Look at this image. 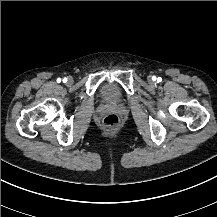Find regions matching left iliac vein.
<instances>
[{
  "label": "left iliac vein",
  "mask_w": 217,
  "mask_h": 217,
  "mask_svg": "<svg viewBox=\"0 0 217 217\" xmlns=\"http://www.w3.org/2000/svg\"><path fill=\"white\" fill-rule=\"evenodd\" d=\"M149 82H150L151 84H153V83H154L153 78H150V79H149Z\"/></svg>",
  "instance_id": "1"
}]
</instances>
